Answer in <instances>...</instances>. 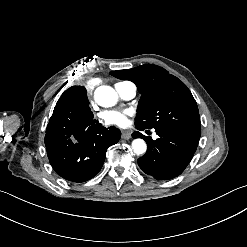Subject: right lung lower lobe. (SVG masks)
<instances>
[{"instance_id": "obj_1", "label": "right lung lower lobe", "mask_w": 247, "mask_h": 247, "mask_svg": "<svg viewBox=\"0 0 247 247\" xmlns=\"http://www.w3.org/2000/svg\"><path fill=\"white\" fill-rule=\"evenodd\" d=\"M121 132L105 128L92 112L68 104H56L46 129L45 145L49 162L62 178L84 182L102 168L107 149L117 143Z\"/></svg>"}]
</instances>
